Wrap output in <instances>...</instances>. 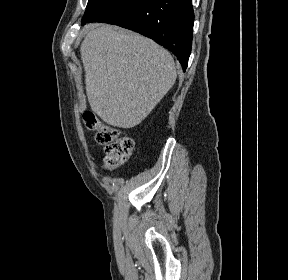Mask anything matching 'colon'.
I'll return each instance as SVG.
<instances>
[{
    "label": "colon",
    "mask_w": 288,
    "mask_h": 280,
    "mask_svg": "<svg viewBox=\"0 0 288 280\" xmlns=\"http://www.w3.org/2000/svg\"><path fill=\"white\" fill-rule=\"evenodd\" d=\"M83 119L87 128L95 133L96 141L104 146L105 169L113 170L127 162L134 148L130 136L121 134L119 129L103 123L90 112L84 113Z\"/></svg>",
    "instance_id": "5ec220e1"
}]
</instances>
